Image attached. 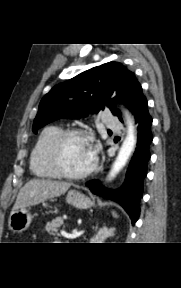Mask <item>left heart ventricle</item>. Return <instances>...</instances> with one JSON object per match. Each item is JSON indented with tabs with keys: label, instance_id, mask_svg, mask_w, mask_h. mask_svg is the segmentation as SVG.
<instances>
[{
	"label": "left heart ventricle",
	"instance_id": "obj_1",
	"mask_svg": "<svg viewBox=\"0 0 181 288\" xmlns=\"http://www.w3.org/2000/svg\"><path fill=\"white\" fill-rule=\"evenodd\" d=\"M62 160L71 172L85 171L93 162L89 143L81 138H69L63 145Z\"/></svg>",
	"mask_w": 181,
	"mask_h": 288
}]
</instances>
